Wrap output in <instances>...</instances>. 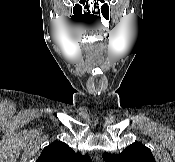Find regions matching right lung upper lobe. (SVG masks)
I'll list each match as a JSON object with an SVG mask.
<instances>
[{"instance_id":"cb5924a9","label":"right lung upper lobe","mask_w":175,"mask_h":162,"mask_svg":"<svg viewBox=\"0 0 175 162\" xmlns=\"http://www.w3.org/2000/svg\"><path fill=\"white\" fill-rule=\"evenodd\" d=\"M36 162H91L89 155L74 152L67 144L57 141L46 146Z\"/></svg>"}]
</instances>
